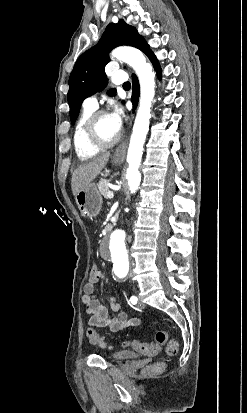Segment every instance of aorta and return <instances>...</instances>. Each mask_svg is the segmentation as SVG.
Returning a JSON list of instances; mask_svg holds the SVG:
<instances>
[{
	"mask_svg": "<svg viewBox=\"0 0 247 413\" xmlns=\"http://www.w3.org/2000/svg\"><path fill=\"white\" fill-rule=\"evenodd\" d=\"M112 55L130 65L136 72L140 83V102L128 149L127 162L129 166L126 173L129 189L131 193H135L141 182L139 166L143 154V145L149 130L151 104L155 94V74L142 52L135 48L118 47L113 50ZM114 239L117 242L112 253L114 267L116 273L122 276L129 269V259L123 243V233L116 232Z\"/></svg>",
	"mask_w": 247,
	"mask_h": 413,
	"instance_id": "aorta-1",
	"label": "aorta"
}]
</instances>
